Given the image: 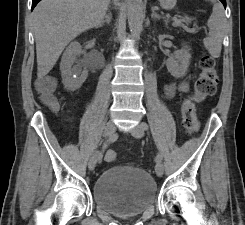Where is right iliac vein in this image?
<instances>
[{"label": "right iliac vein", "mask_w": 245, "mask_h": 225, "mask_svg": "<svg viewBox=\"0 0 245 225\" xmlns=\"http://www.w3.org/2000/svg\"><path fill=\"white\" fill-rule=\"evenodd\" d=\"M115 131H116L115 124L112 121H109L106 123L104 127L103 136L106 138H110L111 136L115 134ZM98 156H99V152L97 151L91 156L89 163H88L89 170L92 171L95 169L96 163L98 161Z\"/></svg>", "instance_id": "obj_1"}]
</instances>
